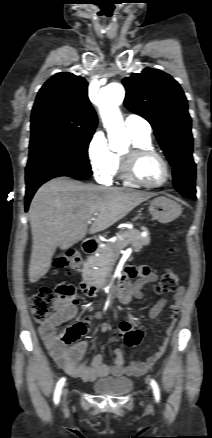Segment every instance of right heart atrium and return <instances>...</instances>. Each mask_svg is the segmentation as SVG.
<instances>
[{"mask_svg":"<svg viewBox=\"0 0 212 438\" xmlns=\"http://www.w3.org/2000/svg\"><path fill=\"white\" fill-rule=\"evenodd\" d=\"M87 158L94 177L108 183L114 172L115 158L102 131L95 132L87 146Z\"/></svg>","mask_w":212,"mask_h":438,"instance_id":"right-heart-atrium-1","label":"right heart atrium"}]
</instances>
